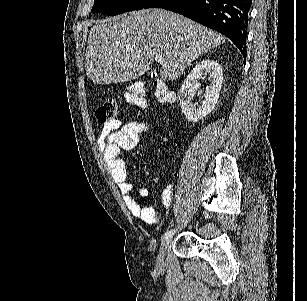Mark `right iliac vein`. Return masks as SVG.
<instances>
[{
  "label": "right iliac vein",
  "mask_w": 307,
  "mask_h": 301,
  "mask_svg": "<svg viewBox=\"0 0 307 301\" xmlns=\"http://www.w3.org/2000/svg\"><path fill=\"white\" fill-rule=\"evenodd\" d=\"M171 240H172L171 237H167L161 241L159 254L156 259V266L159 268L163 267L165 250L170 245Z\"/></svg>",
  "instance_id": "1"
}]
</instances>
